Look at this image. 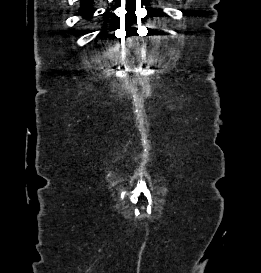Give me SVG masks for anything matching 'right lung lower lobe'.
<instances>
[{
    "instance_id": "98d812e1",
    "label": "right lung lower lobe",
    "mask_w": 261,
    "mask_h": 273,
    "mask_svg": "<svg viewBox=\"0 0 261 273\" xmlns=\"http://www.w3.org/2000/svg\"><path fill=\"white\" fill-rule=\"evenodd\" d=\"M92 3H93V0H82L81 7L79 10L80 15H82L85 18H90L94 12Z\"/></svg>"
}]
</instances>
